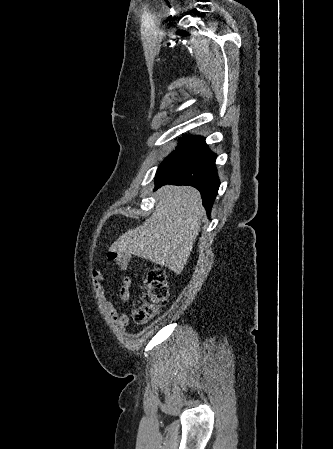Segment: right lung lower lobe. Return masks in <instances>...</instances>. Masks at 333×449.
Returning a JSON list of instances; mask_svg holds the SVG:
<instances>
[{"mask_svg": "<svg viewBox=\"0 0 333 449\" xmlns=\"http://www.w3.org/2000/svg\"><path fill=\"white\" fill-rule=\"evenodd\" d=\"M215 160L205 138L196 136L163 161L157 170L156 189L164 184L193 186L200 191L209 214L220 185Z\"/></svg>", "mask_w": 333, "mask_h": 449, "instance_id": "98d812e1", "label": "right lung lower lobe"}]
</instances>
